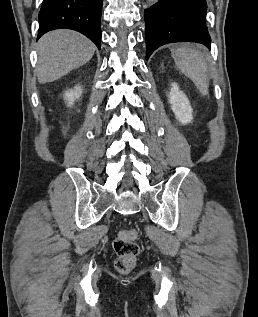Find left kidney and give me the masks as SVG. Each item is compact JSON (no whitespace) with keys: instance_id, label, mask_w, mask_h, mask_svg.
<instances>
[{"instance_id":"left-kidney-1","label":"left kidney","mask_w":258,"mask_h":317,"mask_svg":"<svg viewBox=\"0 0 258 317\" xmlns=\"http://www.w3.org/2000/svg\"><path fill=\"white\" fill-rule=\"evenodd\" d=\"M169 102L176 118H178L181 124L191 122L193 110L191 108L190 100H188L183 90H180L177 82H172L171 84Z\"/></svg>"}]
</instances>
